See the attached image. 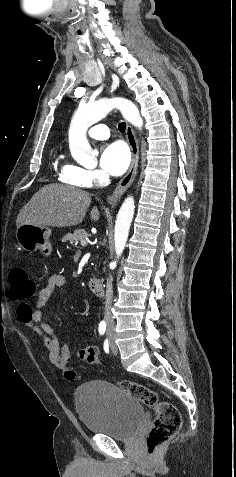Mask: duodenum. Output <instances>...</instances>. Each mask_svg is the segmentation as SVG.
Here are the masks:
<instances>
[{
	"instance_id": "410a0bca",
	"label": "duodenum",
	"mask_w": 236,
	"mask_h": 477,
	"mask_svg": "<svg viewBox=\"0 0 236 477\" xmlns=\"http://www.w3.org/2000/svg\"><path fill=\"white\" fill-rule=\"evenodd\" d=\"M89 288L91 292L97 296L104 295V285L99 278H96V277L90 278Z\"/></svg>"
}]
</instances>
